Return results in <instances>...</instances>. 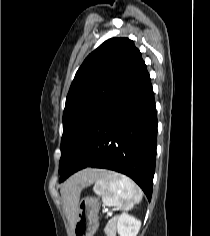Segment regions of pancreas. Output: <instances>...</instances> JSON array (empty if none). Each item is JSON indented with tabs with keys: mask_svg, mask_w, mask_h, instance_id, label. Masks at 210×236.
Listing matches in <instances>:
<instances>
[{
	"mask_svg": "<svg viewBox=\"0 0 210 236\" xmlns=\"http://www.w3.org/2000/svg\"><path fill=\"white\" fill-rule=\"evenodd\" d=\"M116 218L114 217L110 222L114 221ZM111 225L108 224L105 228V233L108 234V236H110V233H111Z\"/></svg>",
	"mask_w": 210,
	"mask_h": 236,
	"instance_id": "cf45deb5",
	"label": "pancreas"
}]
</instances>
